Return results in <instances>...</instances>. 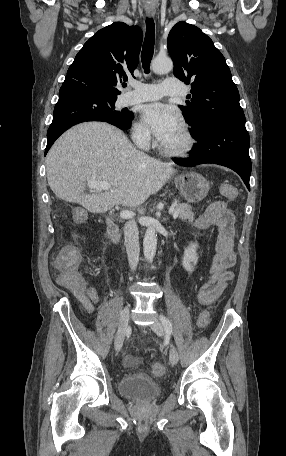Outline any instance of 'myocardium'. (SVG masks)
I'll list each match as a JSON object with an SVG mask.
<instances>
[{
  "label": "myocardium",
  "mask_w": 286,
  "mask_h": 456,
  "mask_svg": "<svg viewBox=\"0 0 286 456\" xmlns=\"http://www.w3.org/2000/svg\"><path fill=\"white\" fill-rule=\"evenodd\" d=\"M180 131L184 139L183 144L178 148H169L161 145V150L169 156H185L189 154L196 146V137L187 125H181Z\"/></svg>",
  "instance_id": "myocardium-1"
}]
</instances>
